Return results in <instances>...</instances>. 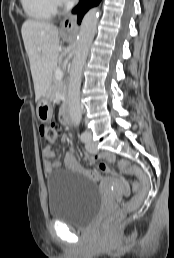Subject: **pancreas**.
<instances>
[{
    "instance_id": "cf45deb5",
    "label": "pancreas",
    "mask_w": 174,
    "mask_h": 258,
    "mask_svg": "<svg viewBox=\"0 0 174 258\" xmlns=\"http://www.w3.org/2000/svg\"><path fill=\"white\" fill-rule=\"evenodd\" d=\"M60 69V66H56L55 70H54V75L52 78V85L50 87V91H51V98L52 100H54L55 98V93L56 91H60V93L62 95H65L66 93V87H65V82L63 80H57L55 77V71Z\"/></svg>"
}]
</instances>
